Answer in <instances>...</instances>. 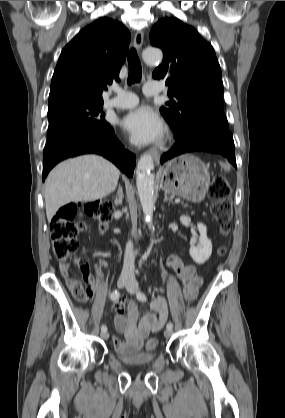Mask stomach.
I'll return each mask as SVG.
<instances>
[{
    "label": "stomach",
    "instance_id": "1",
    "mask_svg": "<svg viewBox=\"0 0 285 418\" xmlns=\"http://www.w3.org/2000/svg\"><path fill=\"white\" fill-rule=\"evenodd\" d=\"M160 177L165 192L192 202L202 201L210 185L207 167L191 154L181 155L166 163L160 170Z\"/></svg>",
    "mask_w": 285,
    "mask_h": 418
}]
</instances>
